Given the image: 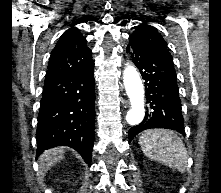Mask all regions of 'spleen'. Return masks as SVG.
<instances>
[{
  "mask_svg": "<svg viewBox=\"0 0 221 193\" xmlns=\"http://www.w3.org/2000/svg\"><path fill=\"white\" fill-rule=\"evenodd\" d=\"M139 145L151 160L165 164L173 170L185 172L187 150L181 138L172 130H146L139 138Z\"/></svg>",
  "mask_w": 221,
  "mask_h": 193,
  "instance_id": "spleen-1",
  "label": "spleen"
}]
</instances>
